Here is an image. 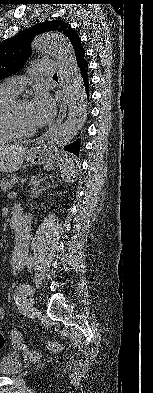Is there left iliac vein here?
Returning <instances> with one entry per match:
<instances>
[{
  "label": "left iliac vein",
  "mask_w": 153,
  "mask_h": 393,
  "mask_svg": "<svg viewBox=\"0 0 153 393\" xmlns=\"http://www.w3.org/2000/svg\"><path fill=\"white\" fill-rule=\"evenodd\" d=\"M30 292H31L30 289L27 290V293H28V294H30ZM23 306H24V308H25L27 311H29V312H32V311L34 310V305H33V302H32V300H31L30 298H26V299L24 300Z\"/></svg>",
  "instance_id": "left-iliac-vein-1"
}]
</instances>
